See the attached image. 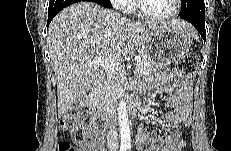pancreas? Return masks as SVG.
Returning a JSON list of instances; mask_svg holds the SVG:
<instances>
[{
	"label": "pancreas",
	"instance_id": "1",
	"mask_svg": "<svg viewBox=\"0 0 231 151\" xmlns=\"http://www.w3.org/2000/svg\"><path fill=\"white\" fill-rule=\"evenodd\" d=\"M145 55L141 56V61L136 65V72L139 75H149L156 71ZM123 85V74L119 72H108L106 80L102 83L98 93V101L102 108L114 103L120 96Z\"/></svg>",
	"mask_w": 231,
	"mask_h": 151
}]
</instances>
